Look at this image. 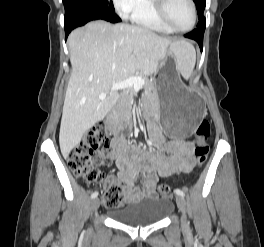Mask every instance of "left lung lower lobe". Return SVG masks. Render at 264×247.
<instances>
[{
    "instance_id": "left-lung-lower-lobe-1",
    "label": "left lung lower lobe",
    "mask_w": 264,
    "mask_h": 247,
    "mask_svg": "<svg viewBox=\"0 0 264 247\" xmlns=\"http://www.w3.org/2000/svg\"><path fill=\"white\" fill-rule=\"evenodd\" d=\"M205 27H198L192 32L185 35V37L195 40L202 51L203 48V35H204Z\"/></svg>"
}]
</instances>
